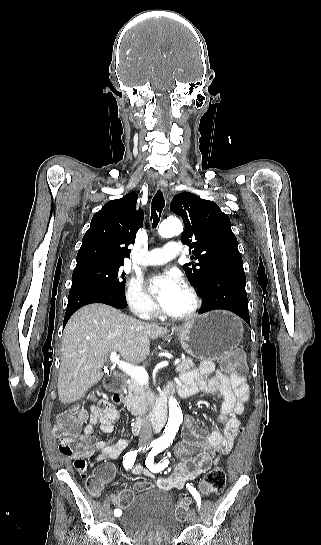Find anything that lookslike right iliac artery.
<instances>
[{
    "instance_id": "1",
    "label": "right iliac artery",
    "mask_w": 321,
    "mask_h": 545,
    "mask_svg": "<svg viewBox=\"0 0 321 545\" xmlns=\"http://www.w3.org/2000/svg\"><path fill=\"white\" fill-rule=\"evenodd\" d=\"M150 446L152 447V446H154V444H151ZM147 449H149V448H147ZM141 450L142 449L139 448L138 450L130 451L127 454L124 455V457H123V466H124V468L126 470H130L133 467L136 456H137V453L140 452ZM114 515L119 516L120 511L118 509L114 510Z\"/></svg>"
}]
</instances>
